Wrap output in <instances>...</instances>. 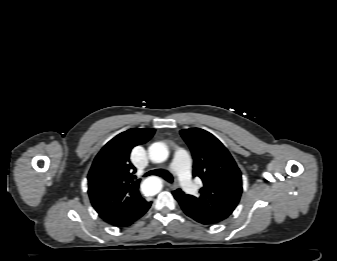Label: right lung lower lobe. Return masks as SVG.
<instances>
[{
	"label": "right lung lower lobe",
	"mask_w": 337,
	"mask_h": 261,
	"mask_svg": "<svg viewBox=\"0 0 337 261\" xmlns=\"http://www.w3.org/2000/svg\"><path fill=\"white\" fill-rule=\"evenodd\" d=\"M150 205H151V202H148V205L144 208L142 214L139 217H137L136 219L130 220V221H127V222H124L122 224L115 225V226H117V227H126V226L131 225L134 221H136L137 219H139L141 216H143L147 212V210L150 208Z\"/></svg>",
	"instance_id": "1"
}]
</instances>
